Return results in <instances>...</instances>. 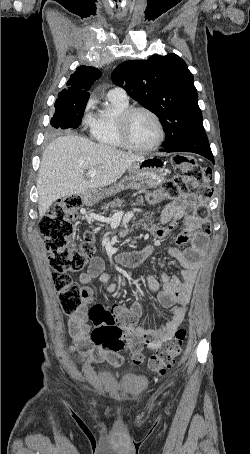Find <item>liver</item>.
Segmentation results:
<instances>
[{"label":"liver","instance_id":"liver-1","mask_svg":"<svg viewBox=\"0 0 250 454\" xmlns=\"http://www.w3.org/2000/svg\"><path fill=\"white\" fill-rule=\"evenodd\" d=\"M142 159V156L96 144L81 136L56 138L44 150L38 171L39 216L43 217L57 199L115 183ZM91 169H96L97 173L87 180L84 172Z\"/></svg>","mask_w":250,"mask_h":454}]
</instances>
